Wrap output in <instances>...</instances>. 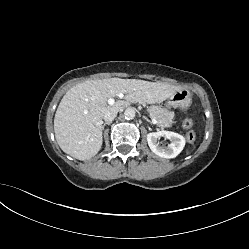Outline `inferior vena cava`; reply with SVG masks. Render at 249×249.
<instances>
[{
    "mask_svg": "<svg viewBox=\"0 0 249 249\" xmlns=\"http://www.w3.org/2000/svg\"><path fill=\"white\" fill-rule=\"evenodd\" d=\"M117 113H118V110L116 109L107 110L104 113L103 118L106 122H112L114 118L116 117Z\"/></svg>",
    "mask_w": 249,
    "mask_h": 249,
    "instance_id": "inferior-vena-cava-1",
    "label": "inferior vena cava"
}]
</instances>
